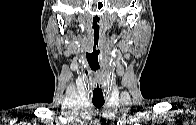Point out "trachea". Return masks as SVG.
Here are the masks:
<instances>
[{
    "mask_svg": "<svg viewBox=\"0 0 196 125\" xmlns=\"http://www.w3.org/2000/svg\"><path fill=\"white\" fill-rule=\"evenodd\" d=\"M92 102L96 108H101L105 103L103 100H93Z\"/></svg>",
    "mask_w": 196,
    "mask_h": 125,
    "instance_id": "3493384b",
    "label": "trachea"
}]
</instances>
